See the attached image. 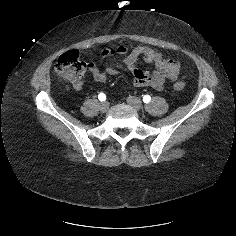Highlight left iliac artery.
Returning <instances> with one entry per match:
<instances>
[{"label": "left iliac artery", "instance_id": "1", "mask_svg": "<svg viewBox=\"0 0 236 236\" xmlns=\"http://www.w3.org/2000/svg\"><path fill=\"white\" fill-rule=\"evenodd\" d=\"M150 100H151V97H150L149 95H145V96L143 97V102H144V103H149Z\"/></svg>", "mask_w": 236, "mask_h": 236}]
</instances>
